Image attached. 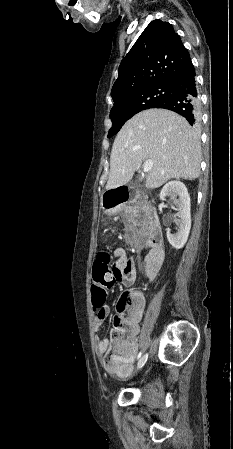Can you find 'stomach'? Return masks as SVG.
<instances>
[{
	"instance_id": "0dacf381",
	"label": "stomach",
	"mask_w": 233,
	"mask_h": 449,
	"mask_svg": "<svg viewBox=\"0 0 233 449\" xmlns=\"http://www.w3.org/2000/svg\"><path fill=\"white\" fill-rule=\"evenodd\" d=\"M106 213L113 214L116 212L118 206H103Z\"/></svg>"
}]
</instances>
